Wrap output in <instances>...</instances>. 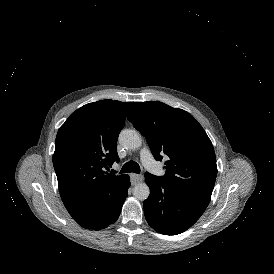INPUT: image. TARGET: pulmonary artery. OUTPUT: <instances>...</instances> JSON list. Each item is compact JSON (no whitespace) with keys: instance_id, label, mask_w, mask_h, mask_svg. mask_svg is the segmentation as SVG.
<instances>
[{"instance_id":"e3ab8cb5","label":"pulmonary artery","mask_w":274,"mask_h":274,"mask_svg":"<svg viewBox=\"0 0 274 274\" xmlns=\"http://www.w3.org/2000/svg\"><path fill=\"white\" fill-rule=\"evenodd\" d=\"M152 157L149 149L147 147H144L141 151V159L142 161L146 160L147 158Z\"/></svg>"}]
</instances>
